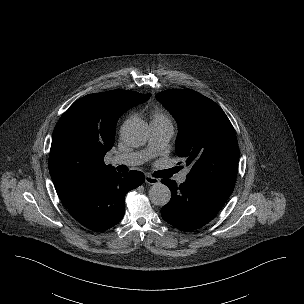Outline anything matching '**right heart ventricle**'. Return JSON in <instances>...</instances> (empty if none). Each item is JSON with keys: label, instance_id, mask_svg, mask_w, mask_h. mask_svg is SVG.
<instances>
[{"label": "right heart ventricle", "instance_id": "right-heart-ventricle-1", "mask_svg": "<svg viewBox=\"0 0 304 304\" xmlns=\"http://www.w3.org/2000/svg\"><path fill=\"white\" fill-rule=\"evenodd\" d=\"M151 123L171 124L170 118L162 109H155L151 114Z\"/></svg>", "mask_w": 304, "mask_h": 304}]
</instances>
